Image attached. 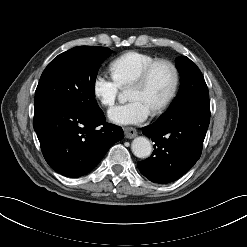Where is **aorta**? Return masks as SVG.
Segmentation results:
<instances>
[{
    "instance_id": "aorta-1",
    "label": "aorta",
    "mask_w": 247,
    "mask_h": 247,
    "mask_svg": "<svg viewBox=\"0 0 247 247\" xmlns=\"http://www.w3.org/2000/svg\"><path fill=\"white\" fill-rule=\"evenodd\" d=\"M118 99L120 102H125L128 96L125 91L119 93ZM133 154L138 158H147L152 153V145L146 137H136L131 144Z\"/></svg>"
}]
</instances>
